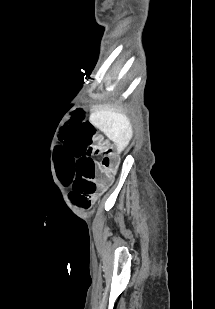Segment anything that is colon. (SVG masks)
<instances>
[{"mask_svg":"<svg viewBox=\"0 0 215 309\" xmlns=\"http://www.w3.org/2000/svg\"><path fill=\"white\" fill-rule=\"evenodd\" d=\"M101 162L105 171H113L114 168L117 166L116 157L111 151L103 153Z\"/></svg>","mask_w":215,"mask_h":309,"instance_id":"obj_1","label":"colon"}]
</instances>
